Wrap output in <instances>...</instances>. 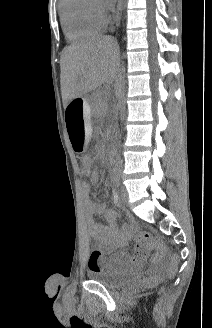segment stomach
<instances>
[{
  "label": "stomach",
  "mask_w": 212,
  "mask_h": 328,
  "mask_svg": "<svg viewBox=\"0 0 212 328\" xmlns=\"http://www.w3.org/2000/svg\"><path fill=\"white\" fill-rule=\"evenodd\" d=\"M88 102H67L65 106L64 128H67L68 139L71 140L76 152L86 149L88 128L90 127V112Z\"/></svg>",
  "instance_id": "0dacf381"
}]
</instances>
